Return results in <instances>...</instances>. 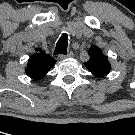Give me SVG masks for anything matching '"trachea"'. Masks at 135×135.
<instances>
[{
  "label": "trachea",
  "instance_id": "trachea-1",
  "mask_svg": "<svg viewBox=\"0 0 135 135\" xmlns=\"http://www.w3.org/2000/svg\"><path fill=\"white\" fill-rule=\"evenodd\" d=\"M67 45H68V35L66 33H63L61 38L56 44L54 55L57 54H67Z\"/></svg>",
  "mask_w": 135,
  "mask_h": 135
}]
</instances>
